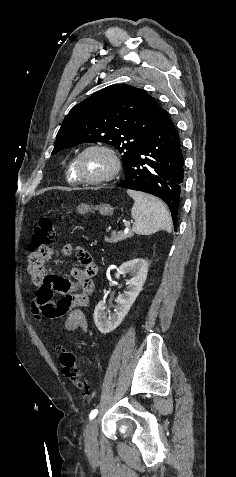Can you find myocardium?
Here are the masks:
<instances>
[{
    "instance_id": "1",
    "label": "myocardium",
    "mask_w": 236,
    "mask_h": 477,
    "mask_svg": "<svg viewBox=\"0 0 236 477\" xmlns=\"http://www.w3.org/2000/svg\"><path fill=\"white\" fill-rule=\"evenodd\" d=\"M90 151H98L103 153L109 160H110V170L103 176L98 178H87L81 174L80 171V162L82 157L90 152ZM74 172L78 178L79 183L90 184V185H100L105 184L113 180L119 173L121 168L120 159L117 153L110 147L103 145V144H92L85 147L74 160Z\"/></svg>"
}]
</instances>
